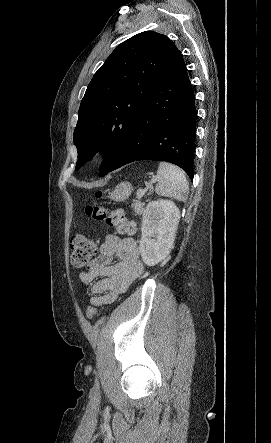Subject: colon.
<instances>
[{"mask_svg": "<svg viewBox=\"0 0 271 443\" xmlns=\"http://www.w3.org/2000/svg\"><path fill=\"white\" fill-rule=\"evenodd\" d=\"M102 194L96 193V198H100ZM85 214L93 220L106 222L113 226L119 233L127 232L132 224L129 222L121 210L110 211L99 204H88L84 209ZM71 263L75 267L87 266L90 260L96 255V244L83 235H75L71 239ZM97 315V308L89 306L87 309V317L93 320Z\"/></svg>", "mask_w": 271, "mask_h": 443, "instance_id": "1", "label": "colon"}]
</instances>
